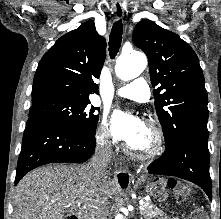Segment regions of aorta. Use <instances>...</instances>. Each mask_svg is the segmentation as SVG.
Returning <instances> with one entry per match:
<instances>
[{
    "label": "aorta",
    "instance_id": "obj_1",
    "mask_svg": "<svg viewBox=\"0 0 221 219\" xmlns=\"http://www.w3.org/2000/svg\"><path fill=\"white\" fill-rule=\"evenodd\" d=\"M147 59L144 54L132 53L120 55L116 61L115 73L123 80H130L138 77L146 68ZM121 219V218H118Z\"/></svg>",
    "mask_w": 221,
    "mask_h": 219
}]
</instances>
